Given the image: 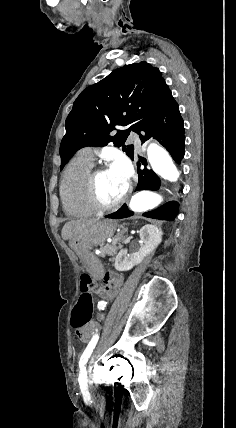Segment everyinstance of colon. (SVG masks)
<instances>
[{
  "mask_svg": "<svg viewBox=\"0 0 236 428\" xmlns=\"http://www.w3.org/2000/svg\"><path fill=\"white\" fill-rule=\"evenodd\" d=\"M95 282L87 274H82L80 278L81 296L73 310L71 326L76 330H82L92 320L93 302L90 292L93 290Z\"/></svg>",
  "mask_w": 236,
  "mask_h": 428,
  "instance_id": "obj_1",
  "label": "colon"
}]
</instances>
